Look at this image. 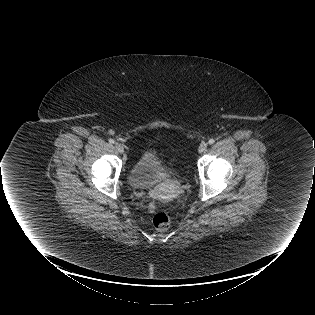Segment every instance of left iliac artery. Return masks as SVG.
I'll list each match as a JSON object with an SVG mask.
<instances>
[{"instance_id": "obj_1", "label": "left iliac artery", "mask_w": 315, "mask_h": 315, "mask_svg": "<svg viewBox=\"0 0 315 315\" xmlns=\"http://www.w3.org/2000/svg\"><path fill=\"white\" fill-rule=\"evenodd\" d=\"M215 142V140L214 139H209V141H208V143L211 145V144H213Z\"/></svg>"}]
</instances>
